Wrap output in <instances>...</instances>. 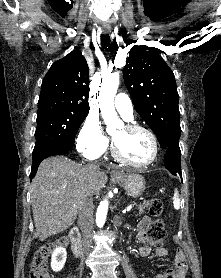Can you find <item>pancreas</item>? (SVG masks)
I'll return each instance as SVG.
<instances>
[{"label":"pancreas","instance_id":"pancreas-1","mask_svg":"<svg viewBox=\"0 0 221 278\" xmlns=\"http://www.w3.org/2000/svg\"><path fill=\"white\" fill-rule=\"evenodd\" d=\"M148 206H149L148 202H144L142 205H139L138 206L139 215L144 213V209L147 208Z\"/></svg>","mask_w":221,"mask_h":278}]
</instances>
